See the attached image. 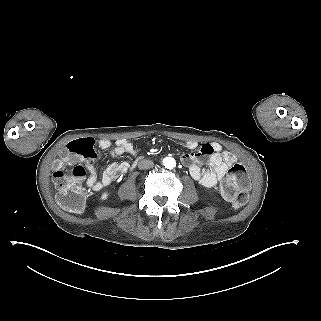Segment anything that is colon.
<instances>
[{"instance_id":"colon-1","label":"colon","mask_w":321,"mask_h":321,"mask_svg":"<svg viewBox=\"0 0 321 321\" xmlns=\"http://www.w3.org/2000/svg\"><path fill=\"white\" fill-rule=\"evenodd\" d=\"M95 157L94 141L82 138L70 142L55 161L53 179L58 189L57 199L66 211L78 214L84 210L86 191L83 181L86 170L78 162ZM248 191L249 177L246 167L236 162L229 168L221 186L222 195L231 202L233 208L238 209L247 202Z\"/></svg>"}]
</instances>
